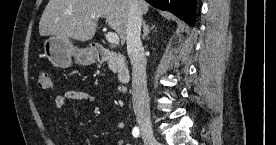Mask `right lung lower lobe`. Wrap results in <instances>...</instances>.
I'll use <instances>...</instances> for the list:
<instances>
[{
    "instance_id": "obj_1",
    "label": "right lung lower lobe",
    "mask_w": 276,
    "mask_h": 145,
    "mask_svg": "<svg viewBox=\"0 0 276 145\" xmlns=\"http://www.w3.org/2000/svg\"><path fill=\"white\" fill-rule=\"evenodd\" d=\"M152 6L175 14L187 24L195 22V0H146Z\"/></svg>"
}]
</instances>
